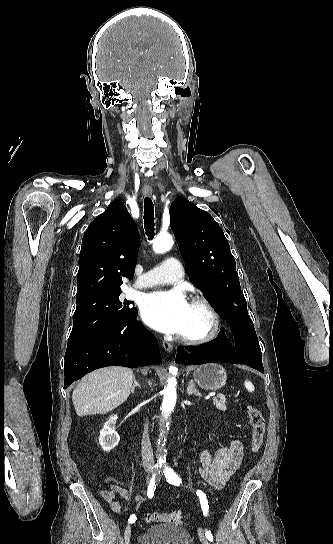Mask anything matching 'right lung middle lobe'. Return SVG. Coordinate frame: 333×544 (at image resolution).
Segmentation results:
<instances>
[{"label":"right lung middle lobe","mask_w":333,"mask_h":544,"mask_svg":"<svg viewBox=\"0 0 333 544\" xmlns=\"http://www.w3.org/2000/svg\"><path fill=\"white\" fill-rule=\"evenodd\" d=\"M121 293V290H114L76 299L77 306L68 343L119 324L136 313L137 310L130 306L133 302L120 298Z\"/></svg>","instance_id":"obj_1"}]
</instances>
